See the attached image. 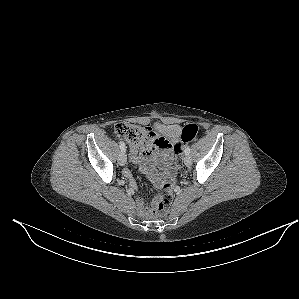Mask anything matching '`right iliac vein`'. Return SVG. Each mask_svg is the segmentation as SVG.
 Returning <instances> with one entry per match:
<instances>
[{"label": "right iliac vein", "instance_id": "63e3f726", "mask_svg": "<svg viewBox=\"0 0 299 299\" xmlns=\"http://www.w3.org/2000/svg\"><path fill=\"white\" fill-rule=\"evenodd\" d=\"M126 160H127V157H126L125 152H121V154H120L119 157H118V163H119V165H120V166L125 165Z\"/></svg>", "mask_w": 299, "mask_h": 299}]
</instances>
